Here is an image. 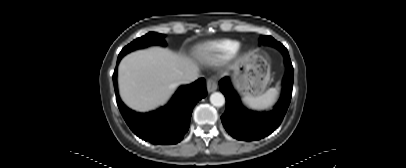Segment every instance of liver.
Listing matches in <instances>:
<instances>
[{
  "label": "liver",
  "instance_id": "6515ba94",
  "mask_svg": "<svg viewBox=\"0 0 406 168\" xmlns=\"http://www.w3.org/2000/svg\"><path fill=\"white\" fill-rule=\"evenodd\" d=\"M193 69H198L193 59L161 47L128 54L118 68L121 98L136 111L153 110L169 100L179 77Z\"/></svg>",
  "mask_w": 406,
  "mask_h": 168
}]
</instances>
